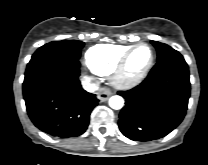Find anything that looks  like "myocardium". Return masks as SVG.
Listing matches in <instances>:
<instances>
[{
  "label": "myocardium",
  "mask_w": 208,
  "mask_h": 165,
  "mask_svg": "<svg viewBox=\"0 0 208 165\" xmlns=\"http://www.w3.org/2000/svg\"><path fill=\"white\" fill-rule=\"evenodd\" d=\"M145 47L150 51V58L147 65L137 73H130L129 71V63L134 55V53L142 48ZM155 60V54L152 47L146 43H139L135 46L131 47L121 58L120 62L116 66L113 74V83L115 86L120 88H130L139 84L150 72L151 68L153 67Z\"/></svg>",
  "instance_id": "f54148a6"
}]
</instances>
